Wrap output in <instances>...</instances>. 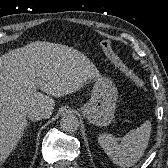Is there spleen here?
<instances>
[{"label":"spleen","instance_id":"obj_1","mask_svg":"<svg viewBox=\"0 0 168 168\" xmlns=\"http://www.w3.org/2000/svg\"><path fill=\"white\" fill-rule=\"evenodd\" d=\"M151 135L150 121L140 127L130 130L120 143L111 134H101L98 143L112 161L120 167H130L143 156Z\"/></svg>","mask_w":168,"mask_h":168}]
</instances>
